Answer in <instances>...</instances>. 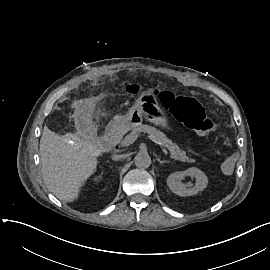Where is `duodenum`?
<instances>
[{
	"mask_svg": "<svg viewBox=\"0 0 270 270\" xmlns=\"http://www.w3.org/2000/svg\"><path fill=\"white\" fill-rule=\"evenodd\" d=\"M126 123L123 120H116L109 124L104 136L105 143L110 147H115L121 140Z\"/></svg>",
	"mask_w": 270,
	"mask_h": 270,
	"instance_id": "1",
	"label": "duodenum"
}]
</instances>
